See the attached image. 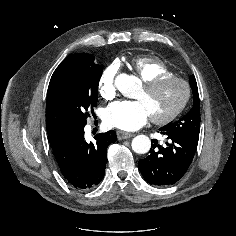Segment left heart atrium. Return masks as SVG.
<instances>
[{
    "label": "left heart atrium",
    "mask_w": 236,
    "mask_h": 236,
    "mask_svg": "<svg viewBox=\"0 0 236 236\" xmlns=\"http://www.w3.org/2000/svg\"><path fill=\"white\" fill-rule=\"evenodd\" d=\"M150 114L141 100L120 101L106 111L105 121L111 126L125 131H134L145 125Z\"/></svg>",
    "instance_id": "39dd6f15"
}]
</instances>
